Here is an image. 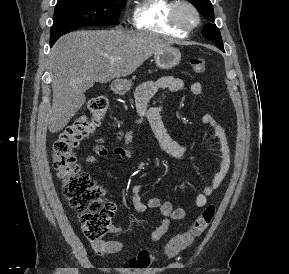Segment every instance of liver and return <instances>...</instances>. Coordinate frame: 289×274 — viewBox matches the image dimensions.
<instances>
[{"mask_svg": "<svg viewBox=\"0 0 289 274\" xmlns=\"http://www.w3.org/2000/svg\"><path fill=\"white\" fill-rule=\"evenodd\" d=\"M170 43L146 33L81 30L62 36L52 47V107L48 130L61 131L86 101L85 83H107L132 74Z\"/></svg>", "mask_w": 289, "mask_h": 274, "instance_id": "liver-1", "label": "liver"}]
</instances>
